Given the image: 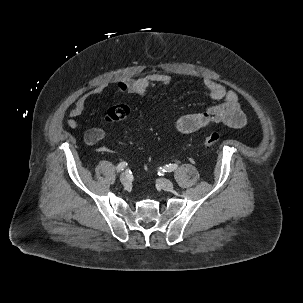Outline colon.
<instances>
[{"instance_id":"obj_1","label":"colon","mask_w":303,"mask_h":303,"mask_svg":"<svg viewBox=\"0 0 303 303\" xmlns=\"http://www.w3.org/2000/svg\"><path fill=\"white\" fill-rule=\"evenodd\" d=\"M130 114V108L127 105L120 104L109 108L106 113L105 121L107 123H115L124 120ZM221 139V136L217 132H212L205 136L203 145L206 148H211L217 144Z\"/></svg>"}]
</instances>
